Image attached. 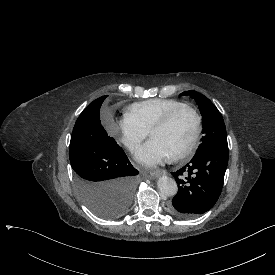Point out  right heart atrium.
Returning <instances> with one entry per match:
<instances>
[{
  "mask_svg": "<svg viewBox=\"0 0 275 275\" xmlns=\"http://www.w3.org/2000/svg\"><path fill=\"white\" fill-rule=\"evenodd\" d=\"M113 133L132 154L139 150L148 135V131L129 116H124L115 121Z\"/></svg>",
  "mask_w": 275,
  "mask_h": 275,
  "instance_id": "d8ad5b80",
  "label": "right heart atrium"
}]
</instances>
